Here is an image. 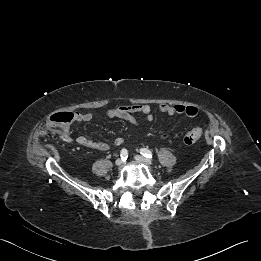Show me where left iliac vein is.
Here are the masks:
<instances>
[{
  "label": "left iliac vein",
  "instance_id": "4c4485c4",
  "mask_svg": "<svg viewBox=\"0 0 261 261\" xmlns=\"http://www.w3.org/2000/svg\"><path fill=\"white\" fill-rule=\"evenodd\" d=\"M135 160L140 162V163H143V164H146V165H152V162L151 160L141 156V155H136L135 157Z\"/></svg>",
  "mask_w": 261,
  "mask_h": 261
}]
</instances>
